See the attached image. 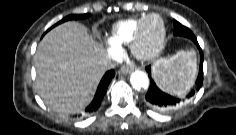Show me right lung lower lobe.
<instances>
[{
  "label": "right lung lower lobe",
  "mask_w": 236,
  "mask_h": 135,
  "mask_svg": "<svg viewBox=\"0 0 236 135\" xmlns=\"http://www.w3.org/2000/svg\"><path fill=\"white\" fill-rule=\"evenodd\" d=\"M114 75H115V71L110 70V71L106 72V74L103 76L92 103L85 110L87 113L94 112L99 108V106L103 100V97L106 93L107 87H108L111 79L114 77Z\"/></svg>",
  "instance_id": "obj_1"
}]
</instances>
